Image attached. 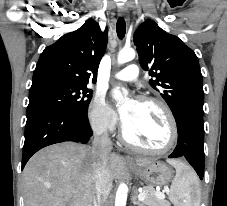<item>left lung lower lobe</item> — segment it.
<instances>
[{
  "label": "left lung lower lobe",
  "instance_id": "1",
  "mask_svg": "<svg viewBox=\"0 0 227 206\" xmlns=\"http://www.w3.org/2000/svg\"><path fill=\"white\" fill-rule=\"evenodd\" d=\"M202 112H184L176 121L177 146L170 158L185 157L202 180L204 175V122Z\"/></svg>",
  "mask_w": 227,
  "mask_h": 206
}]
</instances>
